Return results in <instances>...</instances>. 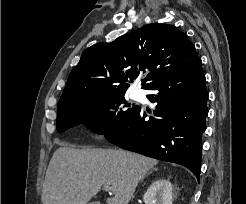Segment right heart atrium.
I'll return each mask as SVG.
<instances>
[{"label":"right heart atrium","mask_w":246,"mask_h":204,"mask_svg":"<svg viewBox=\"0 0 246 204\" xmlns=\"http://www.w3.org/2000/svg\"><path fill=\"white\" fill-rule=\"evenodd\" d=\"M101 119L105 125H111L115 119L113 107L107 106L100 113Z\"/></svg>","instance_id":"right-heart-atrium-1"}]
</instances>
